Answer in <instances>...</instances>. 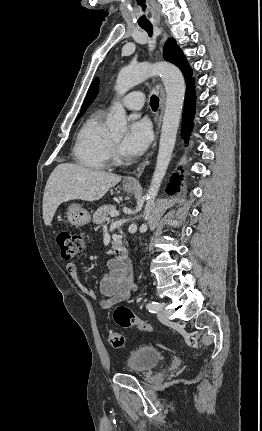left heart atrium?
<instances>
[{
  "instance_id": "39dd6f15",
  "label": "left heart atrium",
  "mask_w": 262,
  "mask_h": 431,
  "mask_svg": "<svg viewBox=\"0 0 262 431\" xmlns=\"http://www.w3.org/2000/svg\"><path fill=\"white\" fill-rule=\"evenodd\" d=\"M151 141V128L146 120L134 118L128 128L127 134L120 142L121 152L129 157L140 155Z\"/></svg>"
}]
</instances>
